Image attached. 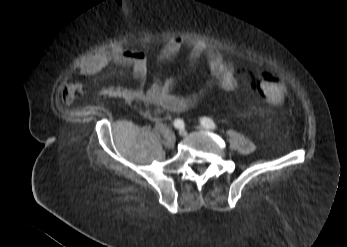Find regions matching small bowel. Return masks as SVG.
<instances>
[{"mask_svg": "<svg viewBox=\"0 0 347 247\" xmlns=\"http://www.w3.org/2000/svg\"><path fill=\"white\" fill-rule=\"evenodd\" d=\"M187 45L181 38H170L164 42L158 54V62L160 64L168 62ZM202 57L206 59L209 78L199 90L188 95H177L173 92L177 83L174 77L157 78L148 88H144L148 66L146 53L141 49L125 50L122 47H113L98 51L81 59L76 70L81 76H92L111 63L130 68L138 86L136 88L108 86L107 92L127 102H141L146 106L154 107L152 111H145L144 115L149 120L158 122L162 119L163 111L179 113L189 110L214 87L232 92L240 86L241 82L233 63L226 60L216 48L197 42L188 46V63L191 66ZM81 91L82 87L79 84H68L61 92V101L65 105H70Z\"/></svg>", "mask_w": 347, "mask_h": 247, "instance_id": "obj_1", "label": "small bowel"}]
</instances>
